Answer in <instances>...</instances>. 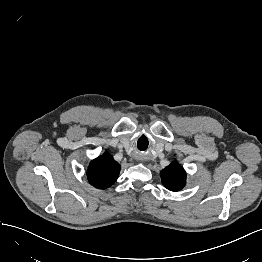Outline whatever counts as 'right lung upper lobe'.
<instances>
[{
    "instance_id": "obj_1",
    "label": "right lung upper lobe",
    "mask_w": 262,
    "mask_h": 262,
    "mask_svg": "<svg viewBox=\"0 0 262 262\" xmlns=\"http://www.w3.org/2000/svg\"><path fill=\"white\" fill-rule=\"evenodd\" d=\"M120 168L109 153H104L90 163L87 170L88 180L94 187L105 189L116 181Z\"/></svg>"
}]
</instances>
